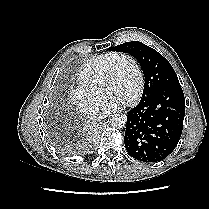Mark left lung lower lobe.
Here are the masks:
<instances>
[{
	"label": "left lung lower lobe",
	"mask_w": 209,
	"mask_h": 209,
	"mask_svg": "<svg viewBox=\"0 0 209 209\" xmlns=\"http://www.w3.org/2000/svg\"><path fill=\"white\" fill-rule=\"evenodd\" d=\"M184 115L185 99L180 83L142 97L127 112L124 143L129 155L144 162L165 159L178 144Z\"/></svg>",
	"instance_id": "0a47b994"
}]
</instances>
